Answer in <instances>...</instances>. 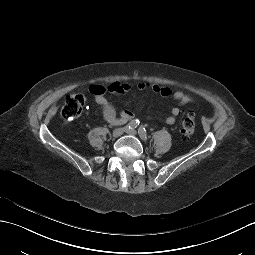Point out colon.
<instances>
[{
	"mask_svg": "<svg viewBox=\"0 0 255 255\" xmlns=\"http://www.w3.org/2000/svg\"><path fill=\"white\" fill-rule=\"evenodd\" d=\"M87 98L81 94L69 95L64 99L62 105V115L66 119L78 117L85 104ZM195 131V120L191 113H187L182 121L181 133L185 137L191 136Z\"/></svg>",
	"mask_w": 255,
	"mask_h": 255,
	"instance_id": "1",
	"label": "colon"
}]
</instances>
